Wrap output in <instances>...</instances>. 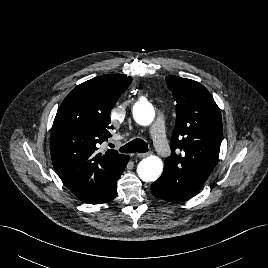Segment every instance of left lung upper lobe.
<instances>
[{
  "label": "left lung upper lobe",
  "mask_w": 268,
  "mask_h": 268,
  "mask_svg": "<svg viewBox=\"0 0 268 268\" xmlns=\"http://www.w3.org/2000/svg\"><path fill=\"white\" fill-rule=\"evenodd\" d=\"M166 82L177 103L176 124L171 138L172 155L165 160L158 181L195 196L219 157L221 113L202 84L177 76H167Z\"/></svg>",
  "instance_id": "1"
}]
</instances>
